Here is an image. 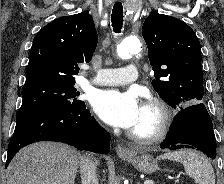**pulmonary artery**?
<instances>
[{"label": "pulmonary artery", "mask_w": 224, "mask_h": 184, "mask_svg": "<svg viewBox=\"0 0 224 184\" xmlns=\"http://www.w3.org/2000/svg\"><path fill=\"white\" fill-rule=\"evenodd\" d=\"M138 76V69L130 64L125 68L102 69L96 77L90 80L94 85H122L135 81Z\"/></svg>", "instance_id": "e3ab8cb5"}]
</instances>
